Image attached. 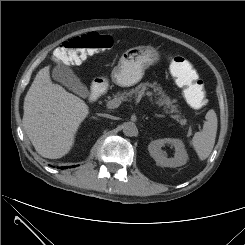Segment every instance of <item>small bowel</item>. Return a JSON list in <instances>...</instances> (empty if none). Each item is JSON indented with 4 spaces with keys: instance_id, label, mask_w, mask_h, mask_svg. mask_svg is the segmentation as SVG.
I'll return each instance as SVG.
<instances>
[{
    "instance_id": "c3829d8e",
    "label": "small bowel",
    "mask_w": 245,
    "mask_h": 245,
    "mask_svg": "<svg viewBox=\"0 0 245 245\" xmlns=\"http://www.w3.org/2000/svg\"><path fill=\"white\" fill-rule=\"evenodd\" d=\"M177 57H181V56H177ZM183 75L185 77H189V76L197 77L196 71L193 69V67L191 66V64L187 60H186V65H185L184 70H183Z\"/></svg>"
}]
</instances>
